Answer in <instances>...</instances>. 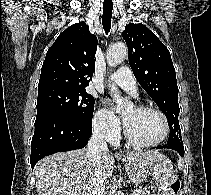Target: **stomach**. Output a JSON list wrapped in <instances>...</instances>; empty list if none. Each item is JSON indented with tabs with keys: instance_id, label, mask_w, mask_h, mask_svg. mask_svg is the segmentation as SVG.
Here are the masks:
<instances>
[{
	"instance_id": "0dacf381",
	"label": "stomach",
	"mask_w": 211,
	"mask_h": 195,
	"mask_svg": "<svg viewBox=\"0 0 211 195\" xmlns=\"http://www.w3.org/2000/svg\"><path fill=\"white\" fill-rule=\"evenodd\" d=\"M125 165L127 164L126 158L123 159ZM145 167H131L129 171V179L135 184L144 181L148 174H151L159 186L168 185L176 180L175 171L171 161L165 157H155L146 162Z\"/></svg>"
}]
</instances>
